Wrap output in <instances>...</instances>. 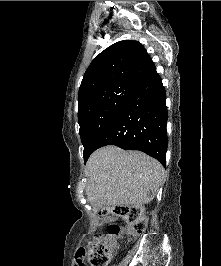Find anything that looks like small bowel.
<instances>
[{
  "label": "small bowel",
  "instance_id": "c3829d8e",
  "mask_svg": "<svg viewBox=\"0 0 221 266\" xmlns=\"http://www.w3.org/2000/svg\"><path fill=\"white\" fill-rule=\"evenodd\" d=\"M77 250L79 252L73 253V256L76 257L74 266H88V264L85 263V258H84L86 256V253L80 252V251H85L86 247L85 246H78Z\"/></svg>",
  "mask_w": 221,
  "mask_h": 266
}]
</instances>
